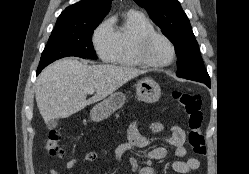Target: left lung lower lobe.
<instances>
[{"label":"left lung lower lobe","instance_id":"0a47b994","mask_svg":"<svg viewBox=\"0 0 249 174\" xmlns=\"http://www.w3.org/2000/svg\"><path fill=\"white\" fill-rule=\"evenodd\" d=\"M193 81L203 82L208 87H211L210 79H208V78H194Z\"/></svg>","mask_w":249,"mask_h":174}]
</instances>
